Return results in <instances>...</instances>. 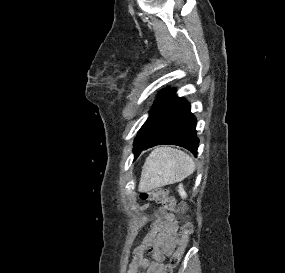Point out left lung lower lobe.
I'll return each mask as SVG.
<instances>
[{"instance_id": "left-lung-lower-lobe-1", "label": "left lung lower lobe", "mask_w": 285, "mask_h": 273, "mask_svg": "<svg viewBox=\"0 0 285 273\" xmlns=\"http://www.w3.org/2000/svg\"><path fill=\"white\" fill-rule=\"evenodd\" d=\"M169 144L184 147L197 156L196 119L190 112L189 103L172 90L151 109L135 139L134 157L137 158L142 150Z\"/></svg>"}]
</instances>
